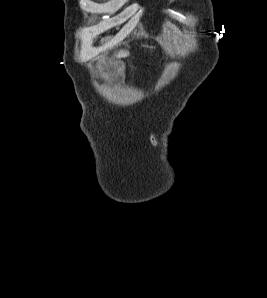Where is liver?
<instances>
[{"label": "liver", "mask_w": 267, "mask_h": 298, "mask_svg": "<svg viewBox=\"0 0 267 298\" xmlns=\"http://www.w3.org/2000/svg\"><path fill=\"white\" fill-rule=\"evenodd\" d=\"M129 55V52L127 51H120L118 54H117V57L121 58V57H127Z\"/></svg>", "instance_id": "liver-1"}]
</instances>
